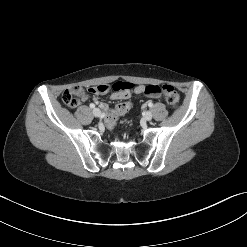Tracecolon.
<instances>
[{"mask_svg": "<svg viewBox=\"0 0 247 247\" xmlns=\"http://www.w3.org/2000/svg\"><path fill=\"white\" fill-rule=\"evenodd\" d=\"M134 89V82H116L113 85L102 84L91 86L88 91L93 94H104L110 90H120L123 88ZM138 92H147V97L154 101H161L164 97L167 104L176 108L179 104L180 97L175 88L171 85H163L161 88L155 85H138ZM84 90L80 86L67 89L62 95L63 102L69 107H76L79 104V98L83 95ZM134 104L132 100H126L114 107V110L106 118V126L109 129H113L117 122V117H123L127 111L133 110Z\"/></svg>", "mask_w": 247, "mask_h": 247, "instance_id": "5ec220e1", "label": "colon"}]
</instances>
